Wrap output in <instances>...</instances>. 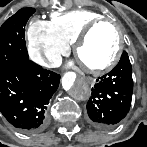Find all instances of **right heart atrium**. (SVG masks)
I'll return each mask as SVG.
<instances>
[{
    "mask_svg": "<svg viewBox=\"0 0 147 147\" xmlns=\"http://www.w3.org/2000/svg\"><path fill=\"white\" fill-rule=\"evenodd\" d=\"M28 52L31 59L45 67L55 66L67 46L51 32L49 22L33 19L27 29Z\"/></svg>",
    "mask_w": 147,
    "mask_h": 147,
    "instance_id": "1",
    "label": "right heart atrium"
}]
</instances>
